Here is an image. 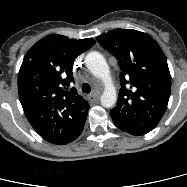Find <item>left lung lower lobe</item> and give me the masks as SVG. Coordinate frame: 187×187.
<instances>
[{"instance_id": "0a47b994", "label": "left lung lower lobe", "mask_w": 187, "mask_h": 187, "mask_svg": "<svg viewBox=\"0 0 187 187\" xmlns=\"http://www.w3.org/2000/svg\"><path fill=\"white\" fill-rule=\"evenodd\" d=\"M115 124V123H114ZM116 125V124H115ZM117 126V125H116ZM118 128H120L119 126H117ZM122 131H124L122 128H120Z\"/></svg>"}]
</instances>
